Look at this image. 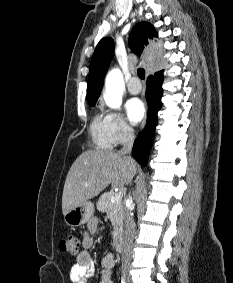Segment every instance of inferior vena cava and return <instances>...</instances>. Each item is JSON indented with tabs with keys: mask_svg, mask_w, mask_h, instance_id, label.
Listing matches in <instances>:
<instances>
[{
	"mask_svg": "<svg viewBox=\"0 0 233 283\" xmlns=\"http://www.w3.org/2000/svg\"><path fill=\"white\" fill-rule=\"evenodd\" d=\"M134 142V131L131 127H127V139L123 147L119 151L120 154H130ZM127 202L132 203V198L129 196ZM135 235V223L131 214V207L124 209V238L122 247V268L126 269L130 266L132 259V246Z\"/></svg>",
	"mask_w": 233,
	"mask_h": 283,
	"instance_id": "1",
	"label": "inferior vena cava"
}]
</instances>
